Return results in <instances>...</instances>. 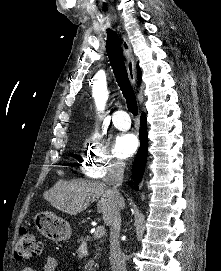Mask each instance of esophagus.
Returning <instances> with one entry per match:
<instances>
[{
    "label": "esophagus",
    "instance_id": "esophagus-1",
    "mask_svg": "<svg viewBox=\"0 0 221 271\" xmlns=\"http://www.w3.org/2000/svg\"><path fill=\"white\" fill-rule=\"evenodd\" d=\"M122 47L126 57V65L128 70V75L132 83L136 82V74H135V62L134 57L132 55V49L130 43L126 36L122 37Z\"/></svg>",
    "mask_w": 221,
    "mask_h": 271
}]
</instances>
